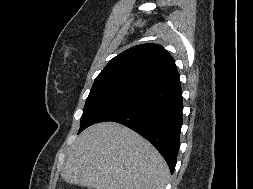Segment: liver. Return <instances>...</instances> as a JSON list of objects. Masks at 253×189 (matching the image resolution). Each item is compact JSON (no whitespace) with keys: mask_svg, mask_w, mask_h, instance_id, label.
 Segmentation results:
<instances>
[{"mask_svg":"<svg viewBox=\"0 0 253 189\" xmlns=\"http://www.w3.org/2000/svg\"><path fill=\"white\" fill-rule=\"evenodd\" d=\"M169 168L133 130L102 122L84 130L68 151L62 179L94 189H165Z\"/></svg>","mask_w":253,"mask_h":189,"instance_id":"1","label":"liver"}]
</instances>
